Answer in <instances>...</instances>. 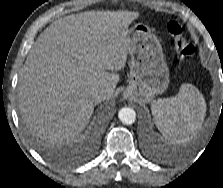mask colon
<instances>
[{"label":"colon","mask_w":223,"mask_h":188,"mask_svg":"<svg viewBox=\"0 0 223 188\" xmlns=\"http://www.w3.org/2000/svg\"><path fill=\"white\" fill-rule=\"evenodd\" d=\"M167 31L174 40V46L181 58L189 59L195 56L197 48L186 40L184 27L176 19H169L166 23Z\"/></svg>","instance_id":"1"}]
</instances>
